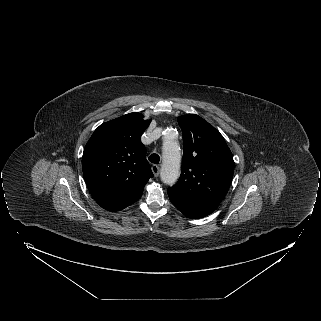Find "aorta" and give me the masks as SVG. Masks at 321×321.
I'll return each mask as SVG.
<instances>
[{
    "mask_svg": "<svg viewBox=\"0 0 321 321\" xmlns=\"http://www.w3.org/2000/svg\"><path fill=\"white\" fill-rule=\"evenodd\" d=\"M177 137L174 128L164 131L160 178L167 185L175 184L180 175L181 152Z\"/></svg>",
    "mask_w": 321,
    "mask_h": 321,
    "instance_id": "aorta-1",
    "label": "aorta"
}]
</instances>
